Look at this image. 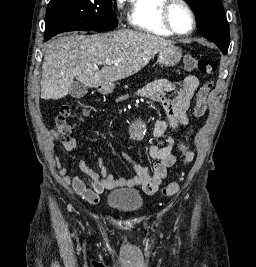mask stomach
<instances>
[{
	"mask_svg": "<svg viewBox=\"0 0 256 267\" xmlns=\"http://www.w3.org/2000/svg\"><path fill=\"white\" fill-rule=\"evenodd\" d=\"M182 58V52L178 46L174 44H167L162 50H160L157 58V62L161 66H176Z\"/></svg>",
	"mask_w": 256,
	"mask_h": 267,
	"instance_id": "obj_1",
	"label": "stomach"
}]
</instances>
